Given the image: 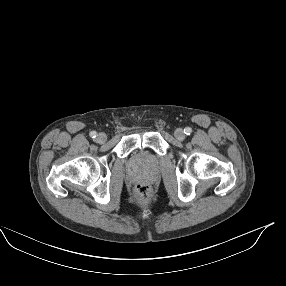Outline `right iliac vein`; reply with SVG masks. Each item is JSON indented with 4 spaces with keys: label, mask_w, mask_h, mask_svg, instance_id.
Wrapping results in <instances>:
<instances>
[{
    "label": "right iliac vein",
    "mask_w": 286,
    "mask_h": 286,
    "mask_svg": "<svg viewBox=\"0 0 286 286\" xmlns=\"http://www.w3.org/2000/svg\"><path fill=\"white\" fill-rule=\"evenodd\" d=\"M96 140H97L98 143L103 144V143L106 142L107 136H106L105 133H99V134L97 135Z\"/></svg>",
    "instance_id": "63e3f726"
}]
</instances>
